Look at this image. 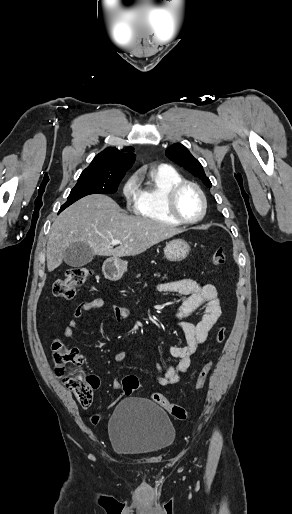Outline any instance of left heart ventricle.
Wrapping results in <instances>:
<instances>
[{
	"instance_id": "obj_1",
	"label": "left heart ventricle",
	"mask_w": 292,
	"mask_h": 514,
	"mask_svg": "<svg viewBox=\"0 0 292 514\" xmlns=\"http://www.w3.org/2000/svg\"><path fill=\"white\" fill-rule=\"evenodd\" d=\"M176 208L184 219L192 220L198 217L201 204L196 191L192 188L182 189L176 198Z\"/></svg>"
}]
</instances>
